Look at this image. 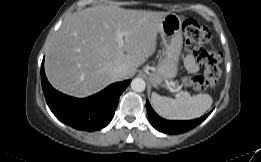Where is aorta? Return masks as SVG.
<instances>
[{
    "label": "aorta",
    "mask_w": 261,
    "mask_h": 162,
    "mask_svg": "<svg viewBox=\"0 0 261 162\" xmlns=\"http://www.w3.org/2000/svg\"><path fill=\"white\" fill-rule=\"evenodd\" d=\"M146 88V83L142 78H134L131 81V89L135 92H143Z\"/></svg>",
    "instance_id": "1"
}]
</instances>
